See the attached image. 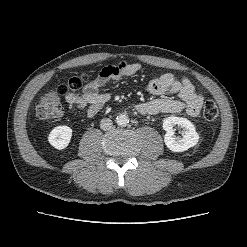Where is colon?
Returning <instances> with one entry per match:
<instances>
[{
  "instance_id": "colon-1",
  "label": "colon",
  "mask_w": 247,
  "mask_h": 247,
  "mask_svg": "<svg viewBox=\"0 0 247 247\" xmlns=\"http://www.w3.org/2000/svg\"><path fill=\"white\" fill-rule=\"evenodd\" d=\"M87 81V76L81 75L71 78L67 84L60 86L56 90H51L45 93L41 98L36 108L37 116L42 120H53L59 117L62 113V103L60 95L63 92L78 91ZM219 110L216 103L212 100H207L203 106V117L208 121H213L218 117Z\"/></svg>"
}]
</instances>
